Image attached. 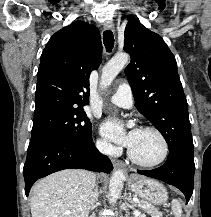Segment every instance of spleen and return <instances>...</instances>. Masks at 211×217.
<instances>
[{"label": "spleen", "instance_id": "obj_1", "mask_svg": "<svg viewBox=\"0 0 211 217\" xmlns=\"http://www.w3.org/2000/svg\"><path fill=\"white\" fill-rule=\"evenodd\" d=\"M172 211L175 217H181L182 207L178 200H172Z\"/></svg>", "mask_w": 211, "mask_h": 217}]
</instances>
